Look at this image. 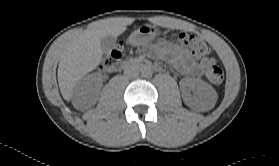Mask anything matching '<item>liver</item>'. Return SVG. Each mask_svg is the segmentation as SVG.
<instances>
[{
  "label": "liver",
  "mask_w": 279,
  "mask_h": 166,
  "mask_svg": "<svg viewBox=\"0 0 279 166\" xmlns=\"http://www.w3.org/2000/svg\"><path fill=\"white\" fill-rule=\"evenodd\" d=\"M127 24L122 18L103 20L98 28L82 32L70 41L62 52L58 66V83L63 98L69 101L78 81L96 69L102 60L101 39L125 32Z\"/></svg>",
  "instance_id": "obj_1"
}]
</instances>
